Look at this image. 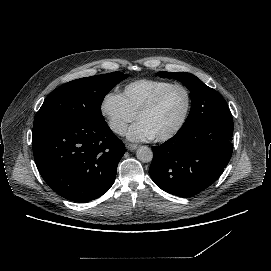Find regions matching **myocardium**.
<instances>
[{
	"instance_id": "1",
	"label": "myocardium",
	"mask_w": 271,
	"mask_h": 271,
	"mask_svg": "<svg viewBox=\"0 0 271 271\" xmlns=\"http://www.w3.org/2000/svg\"><path fill=\"white\" fill-rule=\"evenodd\" d=\"M176 87L183 88L187 94L188 102H187V108H186L185 114L183 118L181 119V121L179 122V124L172 131H170L169 133L163 136L153 138L155 142H160V143L168 142L174 139L183 130V128L185 127L186 123L189 120V117L191 115L192 108H193L194 99H193V93L191 89L187 85L180 82L171 83L167 87L162 89L160 92H158L153 97V99L148 104H146L136 115V119H139L142 116L147 115L151 113L152 111H154L159 106L163 98L167 95V93Z\"/></svg>"
}]
</instances>
